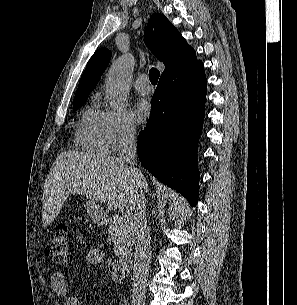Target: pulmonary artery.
Returning <instances> with one entry per match:
<instances>
[{
	"label": "pulmonary artery",
	"instance_id": "e3ab8cb5",
	"mask_svg": "<svg viewBox=\"0 0 297 305\" xmlns=\"http://www.w3.org/2000/svg\"><path fill=\"white\" fill-rule=\"evenodd\" d=\"M134 87L138 93L148 95L151 92L148 76L146 74H140L134 82Z\"/></svg>",
	"mask_w": 297,
	"mask_h": 305
}]
</instances>
